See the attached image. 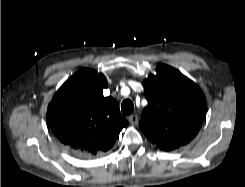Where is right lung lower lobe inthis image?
Listing matches in <instances>:
<instances>
[{"label":"right lung lower lobe","instance_id":"right-lung-lower-lobe-1","mask_svg":"<svg viewBox=\"0 0 245 187\" xmlns=\"http://www.w3.org/2000/svg\"><path fill=\"white\" fill-rule=\"evenodd\" d=\"M73 153H75V154H77V155H79V156H82V157H89L87 154H85V153H82V152H77V151H73V150H71Z\"/></svg>","mask_w":245,"mask_h":187}]
</instances>
